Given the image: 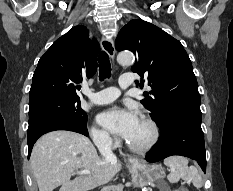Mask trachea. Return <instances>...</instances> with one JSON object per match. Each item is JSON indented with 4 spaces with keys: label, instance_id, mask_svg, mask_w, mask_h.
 <instances>
[{
    "label": "trachea",
    "instance_id": "1",
    "mask_svg": "<svg viewBox=\"0 0 233 191\" xmlns=\"http://www.w3.org/2000/svg\"><path fill=\"white\" fill-rule=\"evenodd\" d=\"M99 79L103 81L105 78H109L111 74V64L109 56L105 51L99 54Z\"/></svg>",
    "mask_w": 233,
    "mask_h": 191
}]
</instances>
